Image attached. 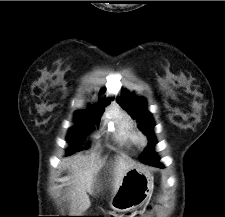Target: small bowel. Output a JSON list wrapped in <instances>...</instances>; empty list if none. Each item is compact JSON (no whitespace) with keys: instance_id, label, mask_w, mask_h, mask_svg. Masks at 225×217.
<instances>
[{"instance_id":"c3829d8e","label":"small bowel","mask_w":225,"mask_h":217,"mask_svg":"<svg viewBox=\"0 0 225 217\" xmlns=\"http://www.w3.org/2000/svg\"><path fill=\"white\" fill-rule=\"evenodd\" d=\"M145 198L144 191L140 189H131L125 192L119 199V208L122 211H128L132 207L140 204Z\"/></svg>"}]
</instances>
